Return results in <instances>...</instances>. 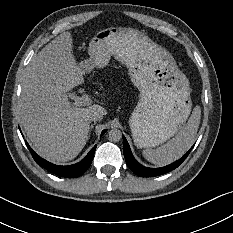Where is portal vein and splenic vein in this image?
<instances>
[{"mask_svg":"<svg viewBox=\"0 0 233 233\" xmlns=\"http://www.w3.org/2000/svg\"><path fill=\"white\" fill-rule=\"evenodd\" d=\"M70 98L74 100V102L71 104L72 107L75 106H90L93 103V99L91 98L90 94H84L80 97H77L75 95H70Z\"/></svg>","mask_w":233,"mask_h":233,"instance_id":"1","label":"portal vein and splenic vein"}]
</instances>
